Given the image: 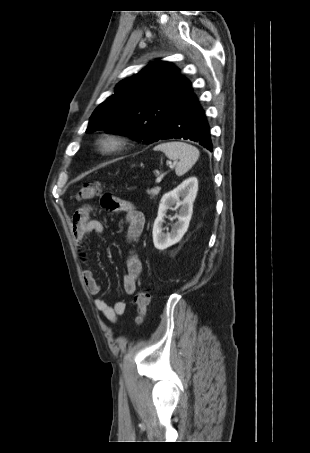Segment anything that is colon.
Here are the masks:
<instances>
[{
	"label": "colon",
	"mask_w": 310,
	"mask_h": 453,
	"mask_svg": "<svg viewBox=\"0 0 310 453\" xmlns=\"http://www.w3.org/2000/svg\"><path fill=\"white\" fill-rule=\"evenodd\" d=\"M100 193H101V185L99 182L88 183V184L82 185L78 189V191L76 192L75 198L78 201H86ZM102 205H103V207L108 208V209L112 208L114 205L113 198L110 195H104L102 197ZM149 301H150V293L147 289L142 288L136 293V295H135V307H136L135 322L137 324L143 323L145 316H146Z\"/></svg>",
	"instance_id": "5ec220e1"
}]
</instances>
